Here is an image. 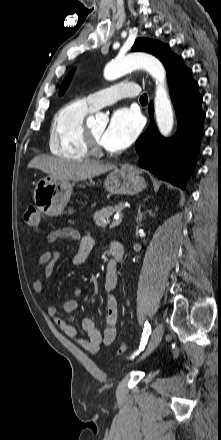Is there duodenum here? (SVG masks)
Masks as SVG:
<instances>
[{"label":"duodenum","instance_id":"410a0bca","mask_svg":"<svg viewBox=\"0 0 221 440\" xmlns=\"http://www.w3.org/2000/svg\"><path fill=\"white\" fill-rule=\"evenodd\" d=\"M110 253L113 260H112V264L109 265L116 270L117 263L121 262L124 258V247L122 243L119 241L112 242L110 245Z\"/></svg>","mask_w":221,"mask_h":440}]
</instances>
